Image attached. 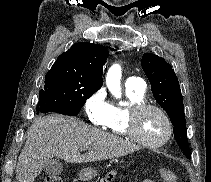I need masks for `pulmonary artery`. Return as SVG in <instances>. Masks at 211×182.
Returning a JSON list of instances; mask_svg holds the SVG:
<instances>
[{
  "label": "pulmonary artery",
  "instance_id": "obj_1",
  "mask_svg": "<svg viewBox=\"0 0 211 182\" xmlns=\"http://www.w3.org/2000/svg\"><path fill=\"white\" fill-rule=\"evenodd\" d=\"M125 87L127 89L136 90L139 92H144L146 85L145 83L138 77H129L125 82Z\"/></svg>",
  "mask_w": 211,
  "mask_h": 182
}]
</instances>
